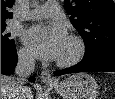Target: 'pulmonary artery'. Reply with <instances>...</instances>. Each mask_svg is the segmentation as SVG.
<instances>
[{
  "mask_svg": "<svg viewBox=\"0 0 115 99\" xmlns=\"http://www.w3.org/2000/svg\"><path fill=\"white\" fill-rule=\"evenodd\" d=\"M60 8L57 2L49 1L29 11L26 19L35 20L41 18L53 17L59 14Z\"/></svg>",
  "mask_w": 115,
  "mask_h": 99,
  "instance_id": "e3ab8cb5",
  "label": "pulmonary artery"
}]
</instances>
